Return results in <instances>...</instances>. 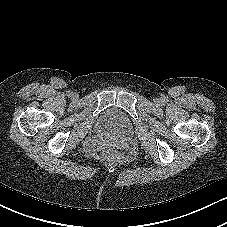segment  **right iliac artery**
I'll list each match as a JSON object with an SVG mask.
<instances>
[{"instance_id":"1","label":"right iliac artery","mask_w":227,"mask_h":227,"mask_svg":"<svg viewBox=\"0 0 227 227\" xmlns=\"http://www.w3.org/2000/svg\"><path fill=\"white\" fill-rule=\"evenodd\" d=\"M72 94H73V93H72L71 91H68V92H67V96H69V97L72 96Z\"/></svg>"}]
</instances>
